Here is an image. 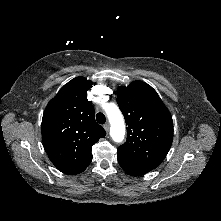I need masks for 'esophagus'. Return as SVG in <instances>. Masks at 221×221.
Here are the masks:
<instances>
[{
	"label": "esophagus",
	"instance_id": "obj_1",
	"mask_svg": "<svg viewBox=\"0 0 221 221\" xmlns=\"http://www.w3.org/2000/svg\"><path fill=\"white\" fill-rule=\"evenodd\" d=\"M109 128H110L109 123L104 124V129L107 133L109 132Z\"/></svg>",
	"mask_w": 221,
	"mask_h": 221
}]
</instances>
